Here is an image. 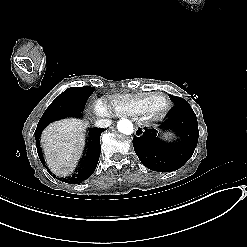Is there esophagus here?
Returning <instances> with one entry per match:
<instances>
[{
    "instance_id": "obj_1",
    "label": "esophagus",
    "mask_w": 247,
    "mask_h": 247,
    "mask_svg": "<svg viewBox=\"0 0 247 247\" xmlns=\"http://www.w3.org/2000/svg\"><path fill=\"white\" fill-rule=\"evenodd\" d=\"M135 134H136V136L139 137V136H141L143 134V130L142 129L136 130Z\"/></svg>"
}]
</instances>
